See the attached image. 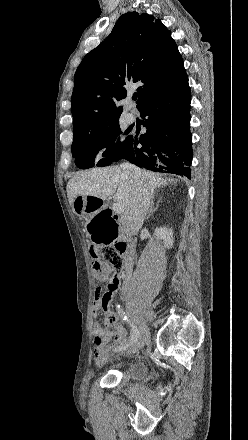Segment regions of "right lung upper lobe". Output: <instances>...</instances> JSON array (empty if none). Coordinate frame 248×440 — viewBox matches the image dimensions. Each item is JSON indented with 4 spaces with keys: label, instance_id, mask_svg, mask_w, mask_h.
Listing matches in <instances>:
<instances>
[{
    "label": "right lung upper lobe",
    "instance_id": "obj_1",
    "mask_svg": "<svg viewBox=\"0 0 248 440\" xmlns=\"http://www.w3.org/2000/svg\"><path fill=\"white\" fill-rule=\"evenodd\" d=\"M170 31L152 15L123 14L110 35L89 52L74 75L73 133L95 131L119 122L132 83L138 106L174 88L187 78L182 57Z\"/></svg>",
    "mask_w": 248,
    "mask_h": 440
}]
</instances>
